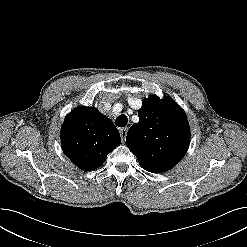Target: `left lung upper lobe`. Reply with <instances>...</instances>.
Instances as JSON below:
<instances>
[{
  "instance_id": "left-lung-upper-lobe-1",
  "label": "left lung upper lobe",
  "mask_w": 247,
  "mask_h": 247,
  "mask_svg": "<svg viewBox=\"0 0 247 247\" xmlns=\"http://www.w3.org/2000/svg\"><path fill=\"white\" fill-rule=\"evenodd\" d=\"M139 122L127 133L126 144L142 168L160 173L174 167L185 155L190 128L184 111L170 97L143 100Z\"/></svg>"
}]
</instances>
